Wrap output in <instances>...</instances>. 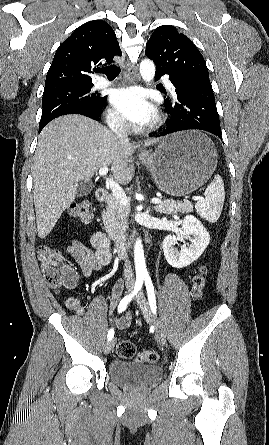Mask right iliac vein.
<instances>
[{
    "instance_id": "right-iliac-vein-1",
    "label": "right iliac vein",
    "mask_w": 269,
    "mask_h": 445,
    "mask_svg": "<svg viewBox=\"0 0 269 445\" xmlns=\"http://www.w3.org/2000/svg\"><path fill=\"white\" fill-rule=\"evenodd\" d=\"M114 345H115V340L108 341L104 347V353L109 354L114 348Z\"/></svg>"
}]
</instances>
